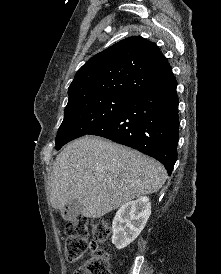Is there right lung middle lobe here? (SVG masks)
<instances>
[{"instance_id": "1", "label": "right lung middle lobe", "mask_w": 221, "mask_h": 274, "mask_svg": "<svg viewBox=\"0 0 221 274\" xmlns=\"http://www.w3.org/2000/svg\"><path fill=\"white\" fill-rule=\"evenodd\" d=\"M132 98L93 96L68 102L64 120L57 132L56 149L67 142L91 133L113 118Z\"/></svg>"}]
</instances>
